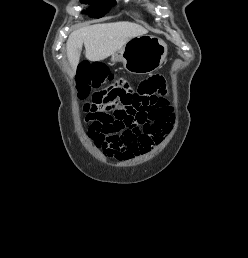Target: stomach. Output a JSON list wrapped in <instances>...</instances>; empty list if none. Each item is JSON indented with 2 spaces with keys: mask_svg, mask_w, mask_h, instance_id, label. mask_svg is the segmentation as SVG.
Masks as SVG:
<instances>
[{
  "mask_svg": "<svg viewBox=\"0 0 248 258\" xmlns=\"http://www.w3.org/2000/svg\"><path fill=\"white\" fill-rule=\"evenodd\" d=\"M167 55L166 43L153 35L131 38L111 57L113 63L121 62L132 74H149L156 71Z\"/></svg>",
  "mask_w": 248,
  "mask_h": 258,
  "instance_id": "obj_1",
  "label": "stomach"
}]
</instances>
